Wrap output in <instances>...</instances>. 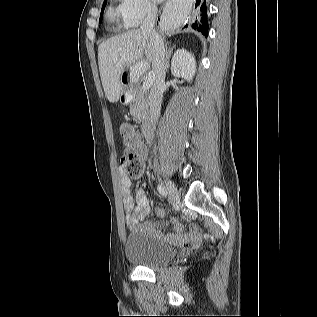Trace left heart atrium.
<instances>
[{
	"label": "left heart atrium",
	"instance_id": "obj_1",
	"mask_svg": "<svg viewBox=\"0 0 317 317\" xmlns=\"http://www.w3.org/2000/svg\"><path fill=\"white\" fill-rule=\"evenodd\" d=\"M155 1L160 2V1H162V0H155Z\"/></svg>",
	"mask_w": 317,
	"mask_h": 317
}]
</instances>
